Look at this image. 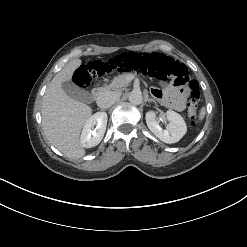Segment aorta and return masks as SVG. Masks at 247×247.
Returning <instances> with one entry per match:
<instances>
[{"label":"aorta","instance_id":"762f6f07","mask_svg":"<svg viewBox=\"0 0 247 247\" xmlns=\"http://www.w3.org/2000/svg\"><path fill=\"white\" fill-rule=\"evenodd\" d=\"M129 101L134 105H140L143 101L142 93L138 90H133L129 94Z\"/></svg>","mask_w":247,"mask_h":247}]
</instances>
